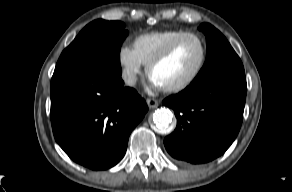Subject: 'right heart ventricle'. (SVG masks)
Returning a JSON list of instances; mask_svg holds the SVG:
<instances>
[{"mask_svg":"<svg viewBox=\"0 0 292 192\" xmlns=\"http://www.w3.org/2000/svg\"><path fill=\"white\" fill-rule=\"evenodd\" d=\"M183 33H185V31L180 29H165L142 33L134 39L133 48L135 49L141 62L146 65L174 38Z\"/></svg>","mask_w":292,"mask_h":192,"instance_id":"1","label":"right heart ventricle"}]
</instances>
